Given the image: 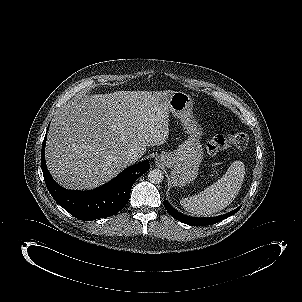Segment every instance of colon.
Returning a JSON list of instances; mask_svg holds the SVG:
<instances>
[{
	"instance_id": "obj_1",
	"label": "colon",
	"mask_w": 302,
	"mask_h": 302,
	"mask_svg": "<svg viewBox=\"0 0 302 302\" xmlns=\"http://www.w3.org/2000/svg\"><path fill=\"white\" fill-rule=\"evenodd\" d=\"M248 144V136L244 132H233L228 134H220L211 138L205 145L208 155H216L227 147H235L243 149Z\"/></svg>"
}]
</instances>
